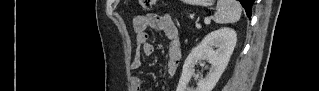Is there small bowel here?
I'll list each match as a JSON object with an SVG mask.
<instances>
[{
  "label": "small bowel",
  "instance_id": "1",
  "mask_svg": "<svg viewBox=\"0 0 319 91\" xmlns=\"http://www.w3.org/2000/svg\"><path fill=\"white\" fill-rule=\"evenodd\" d=\"M134 30L136 32V42L138 50L131 63V69L137 70L141 66L142 56H152L154 46L149 41L147 29L161 31L168 39L166 53V69L170 75L176 73L181 59V36L173 20L168 14L155 15L150 13H140L134 18ZM132 88L134 91H146L144 88L145 80L137 75L131 77Z\"/></svg>",
  "mask_w": 319,
  "mask_h": 91
}]
</instances>
